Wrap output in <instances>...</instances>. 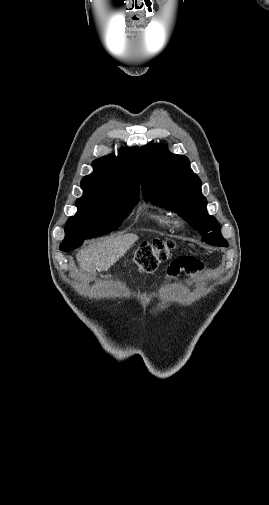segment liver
Returning a JSON list of instances; mask_svg holds the SVG:
<instances>
[{
	"instance_id": "6515ba94",
	"label": "liver",
	"mask_w": 269,
	"mask_h": 505,
	"mask_svg": "<svg viewBox=\"0 0 269 505\" xmlns=\"http://www.w3.org/2000/svg\"><path fill=\"white\" fill-rule=\"evenodd\" d=\"M137 240V235L129 233L92 243L78 252L77 261L87 273L107 271Z\"/></svg>"
}]
</instances>
